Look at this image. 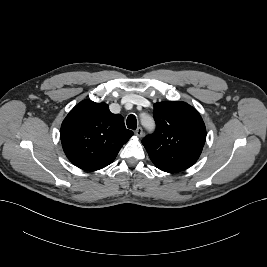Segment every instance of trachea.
<instances>
[{"instance_id":"1","label":"trachea","mask_w":267,"mask_h":267,"mask_svg":"<svg viewBox=\"0 0 267 267\" xmlns=\"http://www.w3.org/2000/svg\"><path fill=\"white\" fill-rule=\"evenodd\" d=\"M127 127L129 129L135 130L137 128V119L134 115H129L126 121Z\"/></svg>"}]
</instances>
